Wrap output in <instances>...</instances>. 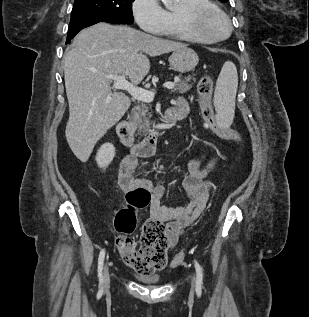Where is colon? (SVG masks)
<instances>
[{"mask_svg": "<svg viewBox=\"0 0 309 317\" xmlns=\"http://www.w3.org/2000/svg\"><path fill=\"white\" fill-rule=\"evenodd\" d=\"M212 89V79L203 76L198 82L197 90L205 122L210 128L217 130L221 137L241 142V137L235 130L217 127L210 101ZM149 203L150 193L145 189H135L126 194V207L119 211L115 220V228L119 234L117 248L123 261L144 275L166 266L169 247L166 228L162 222L155 219H149L144 223L138 240L131 236L136 226V212L144 209ZM183 258L184 254L180 253L174 258V264H180Z\"/></svg>", "mask_w": 309, "mask_h": 317, "instance_id": "obj_1", "label": "colon"}]
</instances>
